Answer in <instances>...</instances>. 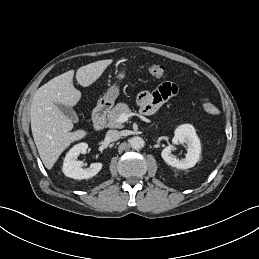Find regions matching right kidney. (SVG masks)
Wrapping results in <instances>:
<instances>
[{"label": "right kidney", "mask_w": 259, "mask_h": 259, "mask_svg": "<svg viewBox=\"0 0 259 259\" xmlns=\"http://www.w3.org/2000/svg\"><path fill=\"white\" fill-rule=\"evenodd\" d=\"M87 143H79L72 147L66 154L63 162V173L70 178L81 180L95 176L102 169V163H93L89 168L83 169L82 163L77 161L80 154L86 153Z\"/></svg>", "instance_id": "obj_1"}]
</instances>
